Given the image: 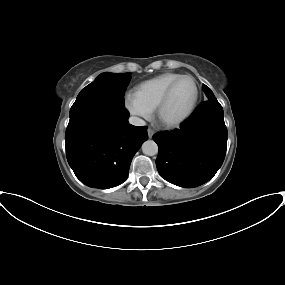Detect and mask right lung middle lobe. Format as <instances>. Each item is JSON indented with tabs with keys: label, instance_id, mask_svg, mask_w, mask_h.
<instances>
[{
	"label": "right lung middle lobe",
	"instance_id": "dd1d6c3e",
	"mask_svg": "<svg viewBox=\"0 0 285 285\" xmlns=\"http://www.w3.org/2000/svg\"><path fill=\"white\" fill-rule=\"evenodd\" d=\"M130 73H102L77 96L69 116L98 102L124 107V92L130 81Z\"/></svg>",
	"mask_w": 285,
	"mask_h": 285
}]
</instances>
